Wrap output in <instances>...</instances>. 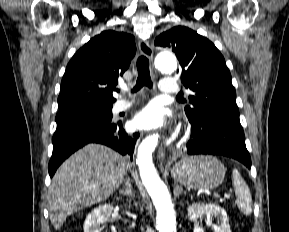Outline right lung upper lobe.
Listing matches in <instances>:
<instances>
[{
	"label": "right lung upper lobe",
	"mask_w": 289,
	"mask_h": 232,
	"mask_svg": "<svg viewBox=\"0 0 289 232\" xmlns=\"http://www.w3.org/2000/svg\"><path fill=\"white\" fill-rule=\"evenodd\" d=\"M136 52L133 36L113 30L93 37L72 57L61 81L59 109L113 106L118 77Z\"/></svg>",
	"instance_id": "obj_1"
}]
</instances>
